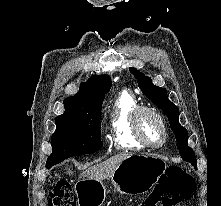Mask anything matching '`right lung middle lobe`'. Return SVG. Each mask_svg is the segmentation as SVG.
<instances>
[{
	"label": "right lung middle lobe",
	"mask_w": 221,
	"mask_h": 206,
	"mask_svg": "<svg viewBox=\"0 0 221 206\" xmlns=\"http://www.w3.org/2000/svg\"><path fill=\"white\" fill-rule=\"evenodd\" d=\"M101 107L64 113L55 119L56 131L51 138L52 154L46 167L77 155L96 152L101 149Z\"/></svg>",
	"instance_id": "right-lung-middle-lobe-1"
}]
</instances>
